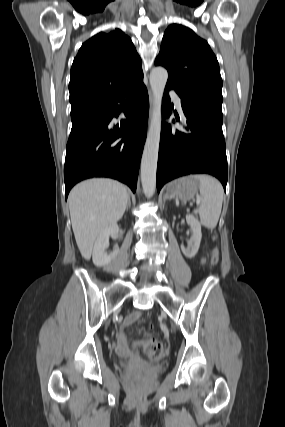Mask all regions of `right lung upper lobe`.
<instances>
[{"mask_svg": "<svg viewBox=\"0 0 285 427\" xmlns=\"http://www.w3.org/2000/svg\"><path fill=\"white\" fill-rule=\"evenodd\" d=\"M71 113L108 99L143 78L141 59L120 29L100 32L86 41L70 71Z\"/></svg>", "mask_w": 285, "mask_h": 427, "instance_id": "obj_1", "label": "right lung upper lobe"}]
</instances>
